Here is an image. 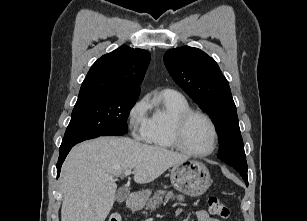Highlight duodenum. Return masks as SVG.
<instances>
[{"mask_svg": "<svg viewBox=\"0 0 307 221\" xmlns=\"http://www.w3.org/2000/svg\"><path fill=\"white\" fill-rule=\"evenodd\" d=\"M140 203H141V196L138 194H133L129 199H128V207L131 210H137L140 208Z\"/></svg>", "mask_w": 307, "mask_h": 221, "instance_id": "obj_1", "label": "duodenum"}]
</instances>
